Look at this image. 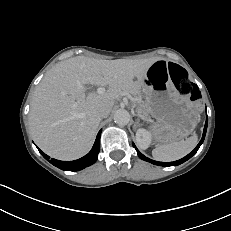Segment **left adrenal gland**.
Returning <instances> with one entry per match:
<instances>
[{
    "label": "left adrenal gland",
    "mask_w": 231,
    "mask_h": 231,
    "mask_svg": "<svg viewBox=\"0 0 231 231\" xmlns=\"http://www.w3.org/2000/svg\"><path fill=\"white\" fill-rule=\"evenodd\" d=\"M136 124H137V125H140V120H139V118L137 119Z\"/></svg>",
    "instance_id": "left-adrenal-gland-1"
}]
</instances>
